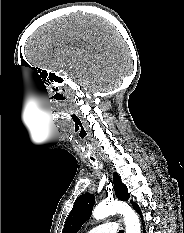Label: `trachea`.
I'll return each instance as SVG.
<instances>
[{"instance_id": "trachea-1", "label": "trachea", "mask_w": 184, "mask_h": 233, "mask_svg": "<svg viewBox=\"0 0 184 233\" xmlns=\"http://www.w3.org/2000/svg\"><path fill=\"white\" fill-rule=\"evenodd\" d=\"M79 136L83 141L87 138V132L83 127H81V129L79 130ZM86 154L89 155L91 160L95 161V159L92 156V153H91V151L89 149L86 150ZM119 233H124V231L120 230Z\"/></svg>"}]
</instances>
